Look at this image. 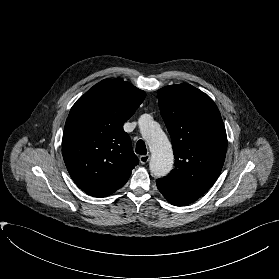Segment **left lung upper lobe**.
Wrapping results in <instances>:
<instances>
[{
  "instance_id": "1",
  "label": "left lung upper lobe",
  "mask_w": 279,
  "mask_h": 279,
  "mask_svg": "<svg viewBox=\"0 0 279 279\" xmlns=\"http://www.w3.org/2000/svg\"><path fill=\"white\" fill-rule=\"evenodd\" d=\"M161 116L171 136L175 168L157 181L201 197L219 177L227 136L214 101L190 84L158 90Z\"/></svg>"
}]
</instances>
